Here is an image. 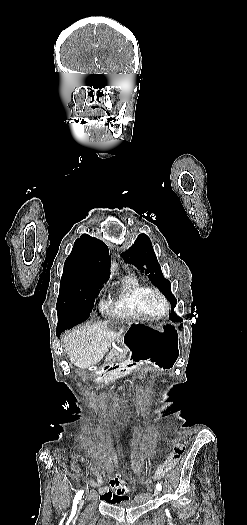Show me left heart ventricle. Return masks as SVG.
<instances>
[{"label": "left heart ventricle", "mask_w": 247, "mask_h": 525, "mask_svg": "<svg viewBox=\"0 0 247 525\" xmlns=\"http://www.w3.org/2000/svg\"><path fill=\"white\" fill-rule=\"evenodd\" d=\"M150 305L155 309V310H161L163 308V302L161 301V299L157 296H154L150 299Z\"/></svg>", "instance_id": "obj_1"}]
</instances>
